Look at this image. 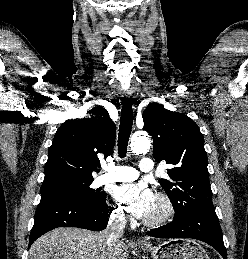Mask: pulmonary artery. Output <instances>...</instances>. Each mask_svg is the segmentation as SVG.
<instances>
[{"label": "pulmonary artery", "instance_id": "pulmonary-artery-1", "mask_svg": "<svg viewBox=\"0 0 248 259\" xmlns=\"http://www.w3.org/2000/svg\"><path fill=\"white\" fill-rule=\"evenodd\" d=\"M140 172L148 173L153 170V162L149 158H142L139 163ZM106 173L96 179L98 186L113 182L133 181L139 176V172L130 166H109Z\"/></svg>", "mask_w": 248, "mask_h": 259}]
</instances>
